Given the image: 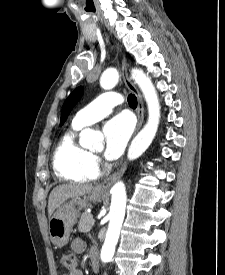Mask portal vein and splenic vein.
Here are the masks:
<instances>
[{"mask_svg": "<svg viewBox=\"0 0 225 275\" xmlns=\"http://www.w3.org/2000/svg\"><path fill=\"white\" fill-rule=\"evenodd\" d=\"M95 223V220L94 219H92V224H94Z\"/></svg>", "mask_w": 225, "mask_h": 275, "instance_id": "1", "label": "portal vein and splenic vein"}]
</instances>
